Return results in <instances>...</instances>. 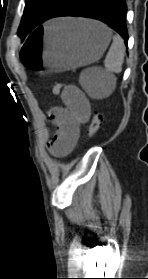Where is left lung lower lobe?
Segmentation results:
<instances>
[{"label": "left lung lower lobe", "mask_w": 148, "mask_h": 279, "mask_svg": "<svg viewBox=\"0 0 148 279\" xmlns=\"http://www.w3.org/2000/svg\"><path fill=\"white\" fill-rule=\"evenodd\" d=\"M126 11L125 0H66L50 18L75 16L100 20L116 30L127 45Z\"/></svg>", "instance_id": "1"}]
</instances>
